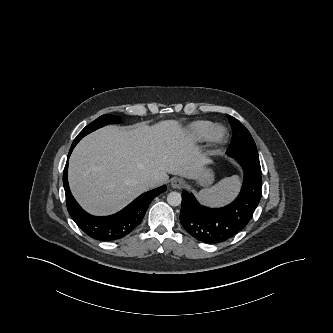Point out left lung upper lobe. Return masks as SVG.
<instances>
[{"instance_id": "1", "label": "left lung upper lobe", "mask_w": 333, "mask_h": 333, "mask_svg": "<svg viewBox=\"0 0 333 333\" xmlns=\"http://www.w3.org/2000/svg\"><path fill=\"white\" fill-rule=\"evenodd\" d=\"M227 116L233 129V140L227 150L228 155L261 170L257 148L251 134L236 118Z\"/></svg>"}]
</instances>
